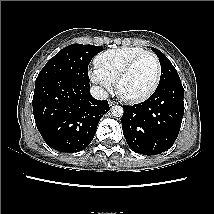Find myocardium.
<instances>
[{"mask_svg":"<svg viewBox=\"0 0 214 214\" xmlns=\"http://www.w3.org/2000/svg\"><path fill=\"white\" fill-rule=\"evenodd\" d=\"M144 57H151L155 63L156 77H155L154 83L151 86V88L146 93H144L142 95L135 96V97L126 96L121 92L120 86H121L123 80L131 72L133 67ZM161 73H162V70H161L160 62H159L158 58L153 53L146 51L144 53H141V54L135 56L125 65V67L121 70L120 74L117 77L116 90H117L119 97L122 100L129 102V103H140V102H143V101L149 99L155 93V91L157 90V88L160 84Z\"/></svg>","mask_w":214,"mask_h":214,"instance_id":"myocardium-1","label":"myocardium"}]
</instances>
